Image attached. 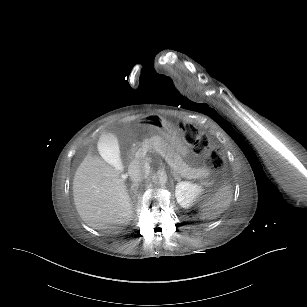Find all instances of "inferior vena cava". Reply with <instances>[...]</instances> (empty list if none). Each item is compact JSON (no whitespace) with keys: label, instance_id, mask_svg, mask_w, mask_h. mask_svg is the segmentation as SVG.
<instances>
[{"label":"inferior vena cava","instance_id":"602c4592","mask_svg":"<svg viewBox=\"0 0 307 307\" xmlns=\"http://www.w3.org/2000/svg\"><path fill=\"white\" fill-rule=\"evenodd\" d=\"M128 174L133 182H141L148 175V170L139 161H133L128 167Z\"/></svg>","mask_w":307,"mask_h":307}]
</instances>
